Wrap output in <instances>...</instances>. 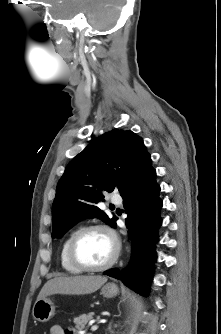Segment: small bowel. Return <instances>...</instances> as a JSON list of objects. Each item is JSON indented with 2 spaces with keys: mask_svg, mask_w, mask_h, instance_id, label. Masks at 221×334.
Segmentation results:
<instances>
[{
  "mask_svg": "<svg viewBox=\"0 0 221 334\" xmlns=\"http://www.w3.org/2000/svg\"><path fill=\"white\" fill-rule=\"evenodd\" d=\"M49 334H74V332H66L63 330V328L59 325H53L50 328Z\"/></svg>",
  "mask_w": 221,
  "mask_h": 334,
  "instance_id": "small-bowel-1",
  "label": "small bowel"
}]
</instances>
